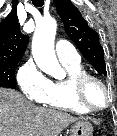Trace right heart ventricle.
I'll use <instances>...</instances> for the list:
<instances>
[{
    "label": "right heart ventricle",
    "mask_w": 117,
    "mask_h": 136,
    "mask_svg": "<svg viewBox=\"0 0 117 136\" xmlns=\"http://www.w3.org/2000/svg\"><path fill=\"white\" fill-rule=\"evenodd\" d=\"M63 65L67 71V77L62 80L50 81V89L45 104L49 107L74 114L90 113L77 104L71 90V79L75 75L85 73L80 61L73 63L65 62Z\"/></svg>",
    "instance_id": "obj_1"
}]
</instances>
